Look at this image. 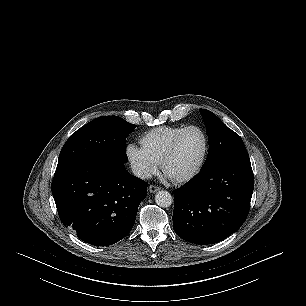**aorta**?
Here are the masks:
<instances>
[{"label":"aorta","mask_w":306,"mask_h":306,"mask_svg":"<svg viewBox=\"0 0 306 306\" xmlns=\"http://www.w3.org/2000/svg\"><path fill=\"white\" fill-rule=\"evenodd\" d=\"M155 202L160 207H169L172 202V196L168 191L161 190L155 195Z\"/></svg>","instance_id":"obj_1"}]
</instances>
